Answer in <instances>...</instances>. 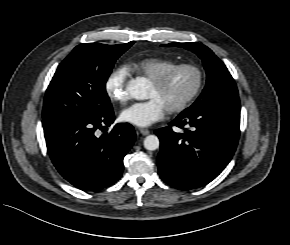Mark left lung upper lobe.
I'll return each mask as SVG.
<instances>
[{
	"instance_id": "5c2ea615",
	"label": "left lung upper lobe",
	"mask_w": 290,
	"mask_h": 245,
	"mask_svg": "<svg viewBox=\"0 0 290 245\" xmlns=\"http://www.w3.org/2000/svg\"><path fill=\"white\" fill-rule=\"evenodd\" d=\"M165 47H182L196 53L202 60L207 74L206 86L195 101L186 110L215 105L233 110L240 109L239 95L236 84L224 63L205 45L200 43H170ZM184 110V111H186Z\"/></svg>"
}]
</instances>
